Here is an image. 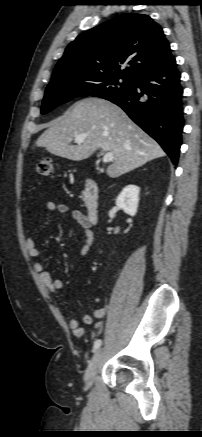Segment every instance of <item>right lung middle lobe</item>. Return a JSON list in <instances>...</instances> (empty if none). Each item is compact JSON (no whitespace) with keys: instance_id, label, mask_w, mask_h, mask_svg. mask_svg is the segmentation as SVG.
Masks as SVG:
<instances>
[{"instance_id":"obj_1","label":"right lung middle lobe","mask_w":202,"mask_h":437,"mask_svg":"<svg viewBox=\"0 0 202 437\" xmlns=\"http://www.w3.org/2000/svg\"><path fill=\"white\" fill-rule=\"evenodd\" d=\"M133 78L121 73H107L53 80L46 88L41 113L46 114L76 97L95 96L108 99L128 91Z\"/></svg>"}]
</instances>
